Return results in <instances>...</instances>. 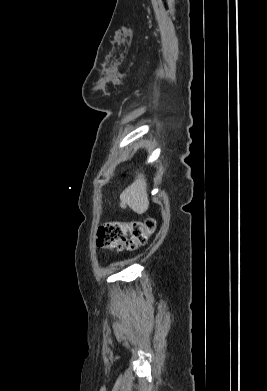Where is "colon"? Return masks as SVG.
<instances>
[{
    "mask_svg": "<svg viewBox=\"0 0 267 391\" xmlns=\"http://www.w3.org/2000/svg\"><path fill=\"white\" fill-rule=\"evenodd\" d=\"M155 228L156 222L152 218L144 221L107 222L98 230V245L134 250L147 242Z\"/></svg>",
    "mask_w": 267,
    "mask_h": 391,
    "instance_id": "colon-1",
    "label": "colon"
}]
</instances>
